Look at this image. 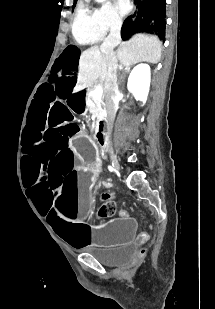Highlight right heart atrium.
I'll return each mask as SVG.
<instances>
[{"label": "right heart atrium", "instance_id": "d8ad5b80", "mask_svg": "<svg viewBox=\"0 0 215 309\" xmlns=\"http://www.w3.org/2000/svg\"><path fill=\"white\" fill-rule=\"evenodd\" d=\"M94 21L98 29L112 34L116 33L122 25L121 16L112 6H105L99 9L98 13L94 14Z\"/></svg>", "mask_w": 215, "mask_h": 309}]
</instances>
